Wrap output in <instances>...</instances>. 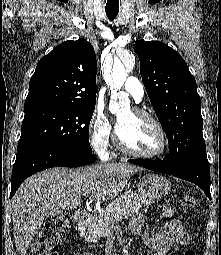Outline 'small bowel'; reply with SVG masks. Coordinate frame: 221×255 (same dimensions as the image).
<instances>
[{
	"instance_id": "obj_1",
	"label": "small bowel",
	"mask_w": 221,
	"mask_h": 255,
	"mask_svg": "<svg viewBox=\"0 0 221 255\" xmlns=\"http://www.w3.org/2000/svg\"><path fill=\"white\" fill-rule=\"evenodd\" d=\"M171 211H164L166 217H170L174 213V208L170 204H166ZM144 227V218L141 215L133 217L130 223L131 234L135 237L141 236ZM145 244L155 251L154 255H167L169 251L176 254L189 244L190 237L183 229L182 224L177 220L168 222L160 231L152 232L150 228H146L142 234ZM75 255H93L92 253H76Z\"/></svg>"
}]
</instances>
